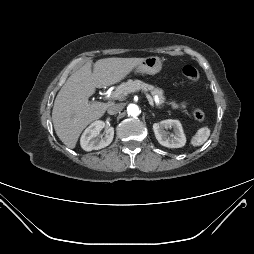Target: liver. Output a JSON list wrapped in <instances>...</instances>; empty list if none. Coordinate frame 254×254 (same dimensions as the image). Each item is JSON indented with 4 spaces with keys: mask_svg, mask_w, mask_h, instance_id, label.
I'll return each instance as SVG.
<instances>
[{
    "mask_svg": "<svg viewBox=\"0 0 254 254\" xmlns=\"http://www.w3.org/2000/svg\"><path fill=\"white\" fill-rule=\"evenodd\" d=\"M144 58H104L86 62L71 74L57 94L52 121L59 139L69 148L76 146L82 131L101 118L109 103L90 102L96 88H104L123 80Z\"/></svg>",
    "mask_w": 254,
    "mask_h": 254,
    "instance_id": "1",
    "label": "liver"
}]
</instances>
